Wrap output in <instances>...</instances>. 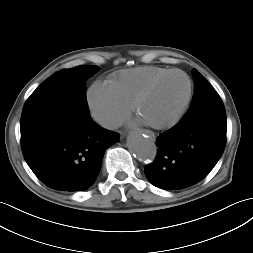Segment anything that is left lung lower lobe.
Here are the masks:
<instances>
[{
	"mask_svg": "<svg viewBox=\"0 0 253 253\" xmlns=\"http://www.w3.org/2000/svg\"><path fill=\"white\" fill-rule=\"evenodd\" d=\"M226 144V114L180 120L157 138L155 161L145 167L151 184L165 190L192 186L216 165Z\"/></svg>",
	"mask_w": 253,
	"mask_h": 253,
	"instance_id": "left-lung-lower-lobe-1",
	"label": "left lung lower lobe"
}]
</instances>
